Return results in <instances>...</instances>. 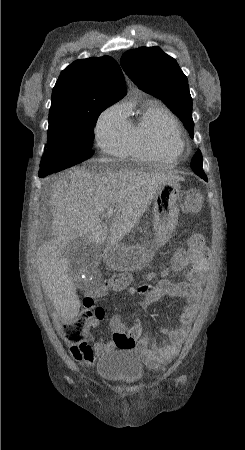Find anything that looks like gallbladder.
Masks as SVG:
<instances>
[{"label":"gallbladder","mask_w":245,"mask_h":450,"mask_svg":"<svg viewBox=\"0 0 245 450\" xmlns=\"http://www.w3.org/2000/svg\"><path fill=\"white\" fill-rule=\"evenodd\" d=\"M65 254L69 261L70 274L76 284H78L80 274L88 275L95 270L102 258L100 249L83 238L73 240Z\"/></svg>","instance_id":"gallbladder-1"}]
</instances>
